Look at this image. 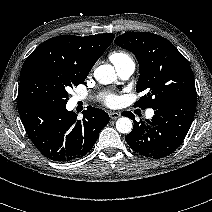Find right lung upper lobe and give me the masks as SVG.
Segmentation results:
<instances>
[{"instance_id": "cb5924a9", "label": "right lung upper lobe", "mask_w": 212, "mask_h": 212, "mask_svg": "<svg viewBox=\"0 0 212 212\" xmlns=\"http://www.w3.org/2000/svg\"><path fill=\"white\" fill-rule=\"evenodd\" d=\"M114 37L112 33H105L85 37L64 35L50 38L28 56L20 75L33 67H46L76 79H86Z\"/></svg>"}]
</instances>
